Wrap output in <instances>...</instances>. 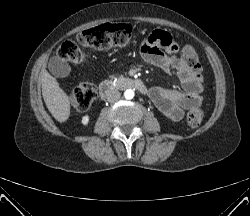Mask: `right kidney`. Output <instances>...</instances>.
<instances>
[{
  "mask_svg": "<svg viewBox=\"0 0 250 216\" xmlns=\"http://www.w3.org/2000/svg\"><path fill=\"white\" fill-rule=\"evenodd\" d=\"M81 122L84 126H87L89 123V116L88 115L83 116Z\"/></svg>",
  "mask_w": 250,
  "mask_h": 216,
  "instance_id": "obj_1",
  "label": "right kidney"
}]
</instances>
